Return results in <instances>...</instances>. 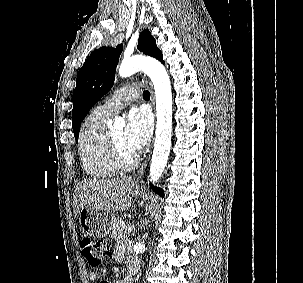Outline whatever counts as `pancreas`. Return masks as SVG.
<instances>
[{
	"label": "pancreas",
	"instance_id": "obj_1",
	"mask_svg": "<svg viewBox=\"0 0 303 283\" xmlns=\"http://www.w3.org/2000/svg\"><path fill=\"white\" fill-rule=\"evenodd\" d=\"M122 218H115L112 223L110 236L115 240L124 239L128 232L126 231V227L128 225H122Z\"/></svg>",
	"mask_w": 303,
	"mask_h": 283
}]
</instances>
